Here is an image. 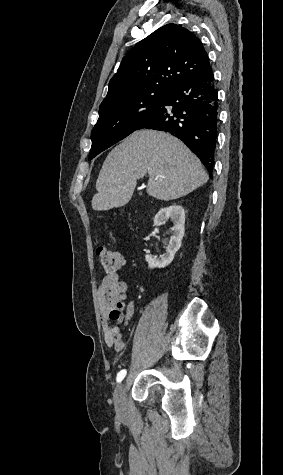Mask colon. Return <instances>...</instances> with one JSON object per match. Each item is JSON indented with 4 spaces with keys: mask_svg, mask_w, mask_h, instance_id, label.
I'll return each mask as SVG.
<instances>
[{
    "mask_svg": "<svg viewBox=\"0 0 283 475\" xmlns=\"http://www.w3.org/2000/svg\"><path fill=\"white\" fill-rule=\"evenodd\" d=\"M98 258L105 270L110 274H119L124 265L123 255L106 247L99 248Z\"/></svg>",
    "mask_w": 283,
    "mask_h": 475,
    "instance_id": "5ec220e1",
    "label": "colon"
}]
</instances>
